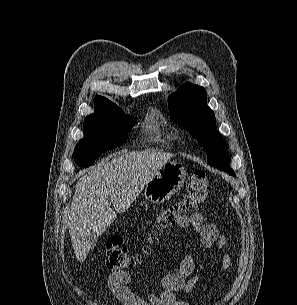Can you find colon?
Returning a JSON list of instances; mask_svg holds the SVG:
<instances>
[{"instance_id": "colon-1", "label": "colon", "mask_w": 297, "mask_h": 305, "mask_svg": "<svg viewBox=\"0 0 297 305\" xmlns=\"http://www.w3.org/2000/svg\"><path fill=\"white\" fill-rule=\"evenodd\" d=\"M208 195V179L203 170L197 169L191 175L186 194L179 201L157 213L151 223L149 237L159 235L164 229L174 224L179 217L198 211L205 203ZM105 260L108 268L113 271H120L134 265L137 259L128 252L123 238L114 235L107 241Z\"/></svg>"}]
</instances>
